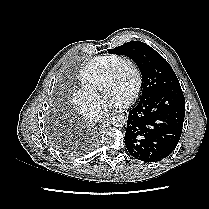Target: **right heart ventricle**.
<instances>
[{
  "label": "right heart ventricle",
  "instance_id": "obj_1",
  "mask_svg": "<svg viewBox=\"0 0 209 209\" xmlns=\"http://www.w3.org/2000/svg\"><path fill=\"white\" fill-rule=\"evenodd\" d=\"M120 56L107 54L89 60L79 71L78 79L82 87L97 92L102 87L103 78L108 67Z\"/></svg>",
  "mask_w": 209,
  "mask_h": 209
}]
</instances>
